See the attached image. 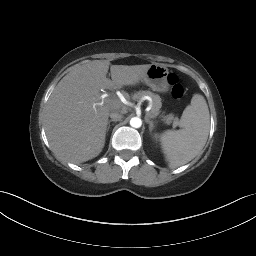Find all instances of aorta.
Wrapping results in <instances>:
<instances>
[{
  "mask_svg": "<svg viewBox=\"0 0 256 256\" xmlns=\"http://www.w3.org/2000/svg\"><path fill=\"white\" fill-rule=\"evenodd\" d=\"M130 125H131L132 127H134V128H139V127H141V125H142V121H141V119L138 118V117H133V118H131V120H130Z\"/></svg>",
  "mask_w": 256,
  "mask_h": 256,
  "instance_id": "aorta-1",
  "label": "aorta"
}]
</instances>
